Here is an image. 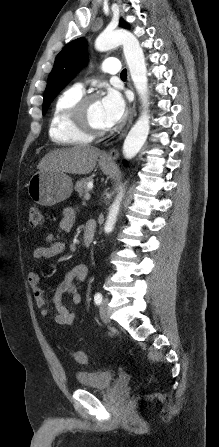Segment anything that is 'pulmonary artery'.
Returning a JSON list of instances; mask_svg holds the SVG:
<instances>
[{
  "mask_svg": "<svg viewBox=\"0 0 219 447\" xmlns=\"http://www.w3.org/2000/svg\"><path fill=\"white\" fill-rule=\"evenodd\" d=\"M102 70L104 73L109 74V75H116L120 72V64L119 61L117 59L114 58H110V59H106L104 60L103 64H102ZM75 89L82 91L83 90V84H76L74 86Z\"/></svg>",
  "mask_w": 219,
  "mask_h": 447,
  "instance_id": "e3ab8cb5",
  "label": "pulmonary artery"
}]
</instances>
